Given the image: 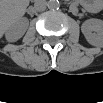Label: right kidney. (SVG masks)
<instances>
[{
  "label": "right kidney",
  "instance_id": "ca27d5eb",
  "mask_svg": "<svg viewBox=\"0 0 103 103\" xmlns=\"http://www.w3.org/2000/svg\"><path fill=\"white\" fill-rule=\"evenodd\" d=\"M27 21H18L15 25H13L7 32L6 38L8 41H17L19 38L23 36L26 31Z\"/></svg>",
  "mask_w": 103,
  "mask_h": 103
}]
</instances>
